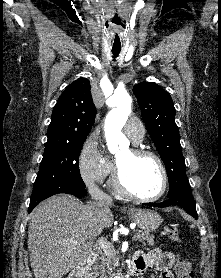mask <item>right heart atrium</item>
<instances>
[{
  "label": "right heart atrium",
  "instance_id": "d8ad5b80",
  "mask_svg": "<svg viewBox=\"0 0 221 278\" xmlns=\"http://www.w3.org/2000/svg\"><path fill=\"white\" fill-rule=\"evenodd\" d=\"M78 170L81 179L89 185L104 181L113 172V166L100 153L93 137L87 138L81 148Z\"/></svg>",
  "mask_w": 221,
  "mask_h": 278
}]
</instances>
